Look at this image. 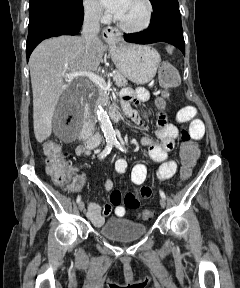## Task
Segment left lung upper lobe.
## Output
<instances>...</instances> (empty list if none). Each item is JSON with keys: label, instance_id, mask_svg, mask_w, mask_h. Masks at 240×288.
Instances as JSON below:
<instances>
[{"label": "left lung upper lobe", "instance_id": "5c2ea615", "mask_svg": "<svg viewBox=\"0 0 240 288\" xmlns=\"http://www.w3.org/2000/svg\"><path fill=\"white\" fill-rule=\"evenodd\" d=\"M153 6V16L151 20L161 16H180L178 0H150Z\"/></svg>", "mask_w": 240, "mask_h": 288}]
</instances>
